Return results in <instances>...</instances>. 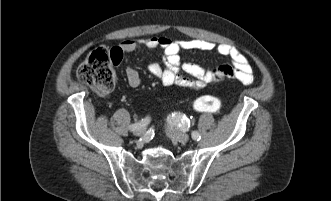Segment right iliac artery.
<instances>
[{"instance_id": "right-iliac-artery-1", "label": "right iliac artery", "mask_w": 331, "mask_h": 201, "mask_svg": "<svg viewBox=\"0 0 331 201\" xmlns=\"http://www.w3.org/2000/svg\"><path fill=\"white\" fill-rule=\"evenodd\" d=\"M150 122V118L149 117H146L144 119H142L140 122L138 123H135V124H131L128 126V129L130 131H134L135 129H137L138 127L140 126H146L148 123Z\"/></svg>"}]
</instances>
